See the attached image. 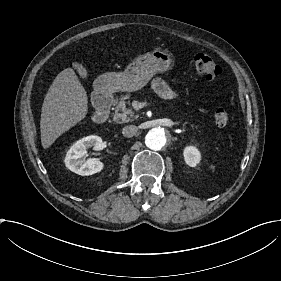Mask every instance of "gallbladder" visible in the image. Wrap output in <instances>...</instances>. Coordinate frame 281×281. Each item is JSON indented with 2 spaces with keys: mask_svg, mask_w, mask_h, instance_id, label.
<instances>
[{
  "mask_svg": "<svg viewBox=\"0 0 281 281\" xmlns=\"http://www.w3.org/2000/svg\"><path fill=\"white\" fill-rule=\"evenodd\" d=\"M73 70L75 71V72H78V75L80 76V77H82V78H87L88 77V72H87V70L85 69V68H82V65L80 64V63H75L74 65H73Z\"/></svg>",
  "mask_w": 281,
  "mask_h": 281,
  "instance_id": "bac80fb5",
  "label": "gallbladder"
}]
</instances>
